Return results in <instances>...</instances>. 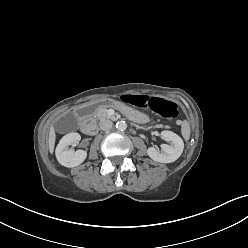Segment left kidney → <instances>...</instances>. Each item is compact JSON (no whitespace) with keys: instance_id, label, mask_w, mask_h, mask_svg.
Instances as JSON below:
<instances>
[{"instance_id":"left-kidney-1","label":"left kidney","mask_w":248,"mask_h":248,"mask_svg":"<svg viewBox=\"0 0 248 248\" xmlns=\"http://www.w3.org/2000/svg\"><path fill=\"white\" fill-rule=\"evenodd\" d=\"M161 137L170 144H162V150L149 147L147 153L151 159L161 163H171L176 161L182 154L184 142L180 136L172 131H162Z\"/></svg>"}]
</instances>
